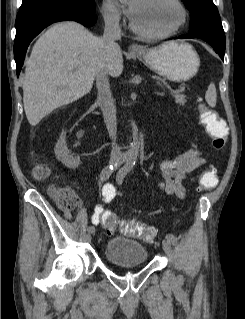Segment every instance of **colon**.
<instances>
[{
  "label": "colon",
  "mask_w": 245,
  "mask_h": 319,
  "mask_svg": "<svg viewBox=\"0 0 245 319\" xmlns=\"http://www.w3.org/2000/svg\"><path fill=\"white\" fill-rule=\"evenodd\" d=\"M201 122L211 139V144L214 149H223L227 142L228 130L224 121L218 116L217 112L209 106L202 104L200 107ZM35 176L38 179H43L48 176V169L44 166L35 168ZM199 188L212 189L217 184L216 170L211 167L203 172L199 179ZM52 194L56 199L58 206L64 211L73 210L78 198L75 193L69 189L59 186L52 187ZM102 225L109 233L116 230L125 235L140 238L146 242L152 243L155 241L156 233L147 224L135 220H120L112 212L105 211L101 217Z\"/></svg>",
  "instance_id": "colon-1"
}]
</instances>
